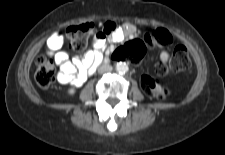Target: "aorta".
I'll use <instances>...</instances> for the list:
<instances>
[{"instance_id":"obj_1","label":"aorta","mask_w":225,"mask_h":155,"mask_svg":"<svg viewBox=\"0 0 225 155\" xmlns=\"http://www.w3.org/2000/svg\"><path fill=\"white\" fill-rule=\"evenodd\" d=\"M115 69L120 74H125L128 71V65L125 62H118Z\"/></svg>"}]
</instances>
